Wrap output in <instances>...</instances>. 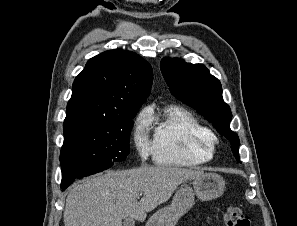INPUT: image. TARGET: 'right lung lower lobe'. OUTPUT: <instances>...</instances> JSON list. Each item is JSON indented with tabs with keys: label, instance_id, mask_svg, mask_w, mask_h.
Listing matches in <instances>:
<instances>
[{
	"label": "right lung lower lobe",
	"instance_id": "1",
	"mask_svg": "<svg viewBox=\"0 0 297 226\" xmlns=\"http://www.w3.org/2000/svg\"><path fill=\"white\" fill-rule=\"evenodd\" d=\"M107 168H109V167H103V168L93 167V168L81 170L79 172H72V173L66 175L65 177H63L62 182H61V189L62 190L66 189L70 184H72L74 182V180L76 178H81V177H85L88 175H92L97 172L103 171Z\"/></svg>",
	"mask_w": 297,
	"mask_h": 226
}]
</instances>
